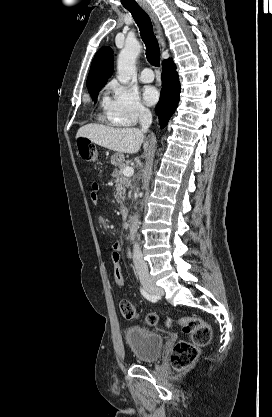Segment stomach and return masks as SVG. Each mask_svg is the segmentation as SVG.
Returning a JSON list of instances; mask_svg holds the SVG:
<instances>
[{
  "instance_id": "1",
  "label": "stomach",
  "mask_w": 272,
  "mask_h": 417,
  "mask_svg": "<svg viewBox=\"0 0 272 417\" xmlns=\"http://www.w3.org/2000/svg\"><path fill=\"white\" fill-rule=\"evenodd\" d=\"M124 161V155L121 152H116L111 156V163L115 166H119Z\"/></svg>"
}]
</instances>
